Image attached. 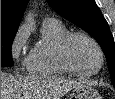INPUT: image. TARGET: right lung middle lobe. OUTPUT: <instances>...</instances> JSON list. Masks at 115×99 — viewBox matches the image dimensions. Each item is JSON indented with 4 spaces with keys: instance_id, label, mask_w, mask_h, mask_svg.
Returning a JSON list of instances; mask_svg holds the SVG:
<instances>
[{
    "instance_id": "right-lung-middle-lobe-1",
    "label": "right lung middle lobe",
    "mask_w": 115,
    "mask_h": 99,
    "mask_svg": "<svg viewBox=\"0 0 115 99\" xmlns=\"http://www.w3.org/2000/svg\"><path fill=\"white\" fill-rule=\"evenodd\" d=\"M16 33L1 32V67L13 66L11 46Z\"/></svg>"
}]
</instances>
